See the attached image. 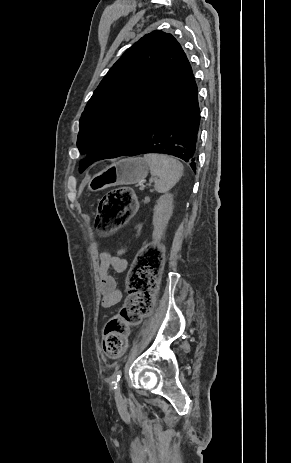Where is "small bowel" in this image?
Returning <instances> with one entry per match:
<instances>
[{
  "instance_id": "1",
  "label": "small bowel",
  "mask_w": 291,
  "mask_h": 463,
  "mask_svg": "<svg viewBox=\"0 0 291 463\" xmlns=\"http://www.w3.org/2000/svg\"><path fill=\"white\" fill-rule=\"evenodd\" d=\"M124 250L120 249L116 254L103 252L100 254L98 265V285L101 293V306L110 308L118 304L123 298V290L111 271L122 273L126 270L128 262L123 256Z\"/></svg>"
}]
</instances>
